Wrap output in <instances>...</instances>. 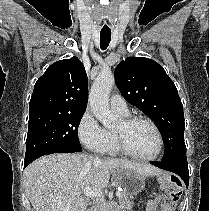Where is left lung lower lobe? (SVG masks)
<instances>
[{
	"label": "left lung lower lobe",
	"instance_id": "0a47b994",
	"mask_svg": "<svg viewBox=\"0 0 209 211\" xmlns=\"http://www.w3.org/2000/svg\"><path fill=\"white\" fill-rule=\"evenodd\" d=\"M151 164L179 175L188 187L189 171L186 156H180L170 161L152 162Z\"/></svg>",
	"mask_w": 209,
	"mask_h": 211
}]
</instances>
